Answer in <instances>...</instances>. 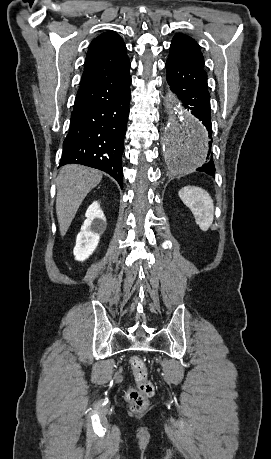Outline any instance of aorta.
<instances>
[{"label": "aorta", "instance_id": "1", "mask_svg": "<svg viewBox=\"0 0 271 459\" xmlns=\"http://www.w3.org/2000/svg\"><path fill=\"white\" fill-rule=\"evenodd\" d=\"M177 112L178 118L169 119L165 128L163 154L170 172L188 173L205 162L208 136L197 121Z\"/></svg>", "mask_w": 271, "mask_h": 459}]
</instances>
